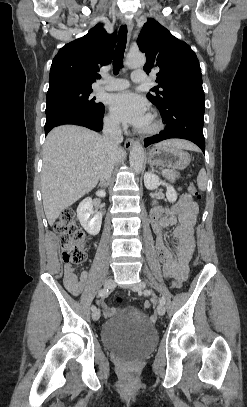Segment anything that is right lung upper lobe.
<instances>
[{"label":"right lung upper lobe","mask_w":247,"mask_h":407,"mask_svg":"<svg viewBox=\"0 0 247 407\" xmlns=\"http://www.w3.org/2000/svg\"><path fill=\"white\" fill-rule=\"evenodd\" d=\"M116 33L108 34L101 23L88 33L61 48L52 61L49 90L62 87H91L99 67L112 60Z\"/></svg>","instance_id":"right-lung-upper-lobe-1"}]
</instances>
